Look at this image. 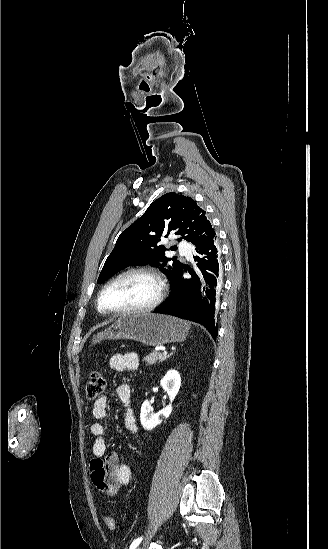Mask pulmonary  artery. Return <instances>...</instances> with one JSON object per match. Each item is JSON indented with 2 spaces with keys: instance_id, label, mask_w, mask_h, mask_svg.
I'll use <instances>...</instances> for the list:
<instances>
[{
  "instance_id": "e3ab8cb5",
  "label": "pulmonary artery",
  "mask_w": 328,
  "mask_h": 549,
  "mask_svg": "<svg viewBox=\"0 0 328 549\" xmlns=\"http://www.w3.org/2000/svg\"><path fill=\"white\" fill-rule=\"evenodd\" d=\"M174 247H175L176 249H178L180 246H179L178 244H176Z\"/></svg>"
}]
</instances>
